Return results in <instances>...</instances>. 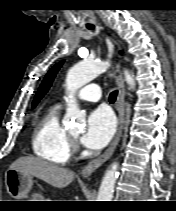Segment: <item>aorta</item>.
Returning <instances> with one entry per match:
<instances>
[{
	"instance_id": "1",
	"label": "aorta",
	"mask_w": 176,
	"mask_h": 211,
	"mask_svg": "<svg viewBox=\"0 0 176 211\" xmlns=\"http://www.w3.org/2000/svg\"><path fill=\"white\" fill-rule=\"evenodd\" d=\"M110 64L106 61H82L71 67L66 76V87L70 92L69 100L67 101V109L64 117L65 124L82 127L85 124V115L78 108L73 99V93L95 79L98 75L105 72ZM125 81L130 89L135 88L133 76L127 71H124ZM118 178V163L114 162L106 171L97 196V201H112L114 187Z\"/></svg>"
}]
</instances>
